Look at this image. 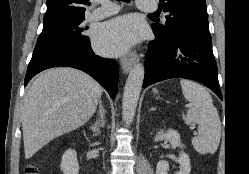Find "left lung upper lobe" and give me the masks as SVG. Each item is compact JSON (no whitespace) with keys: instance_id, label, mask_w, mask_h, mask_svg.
Returning a JSON list of instances; mask_svg holds the SVG:
<instances>
[{"instance_id":"obj_1","label":"left lung upper lobe","mask_w":249,"mask_h":174,"mask_svg":"<svg viewBox=\"0 0 249 174\" xmlns=\"http://www.w3.org/2000/svg\"><path fill=\"white\" fill-rule=\"evenodd\" d=\"M160 8L169 15L164 25L152 24L155 35L167 41L211 37L205 0H160Z\"/></svg>"}]
</instances>
